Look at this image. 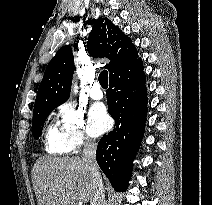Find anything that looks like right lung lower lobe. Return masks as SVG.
I'll return each instance as SVG.
<instances>
[{"label":"right lung lower lobe","mask_w":212,"mask_h":205,"mask_svg":"<svg viewBox=\"0 0 212 205\" xmlns=\"http://www.w3.org/2000/svg\"><path fill=\"white\" fill-rule=\"evenodd\" d=\"M108 112L115 127L97 147V162L117 191H125L147 116L146 76L141 58L109 76Z\"/></svg>","instance_id":"98d812e1"}]
</instances>
